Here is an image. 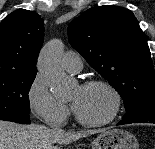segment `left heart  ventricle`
<instances>
[{
  "mask_svg": "<svg viewBox=\"0 0 155 149\" xmlns=\"http://www.w3.org/2000/svg\"><path fill=\"white\" fill-rule=\"evenodd\" d=\"M70 99L76 112L88 121L104 120L112 110L111 96L100 87H77Z\"/></svg>",
  "mask_w": 155,
  "mask_h": 149,
  "instance_id": "b2bd125f",
  "label": "left heart ventricle"
}]
</instances>
